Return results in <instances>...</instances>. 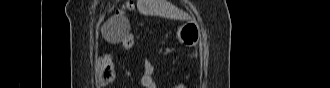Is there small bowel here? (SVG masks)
I'll list each match as a JSON object with an SVG mask.
<instances>
[{
	"instance_id": "1",
	"label": "small bowel",
	"mask_w": 330,
	"mask_h": 88,
	"mask_svg": "<svg viewBox=\"0 0 330 88\" xmlns=\"http://www.w3.org/2000/svg\"><path fill=\"white\" fill-rule=\"evenodd\" d=\"M142 67H143V75L141 81L143 85L148 88H154L155 87L153 82V76L155 72L154 65L148 58L144 57L142 59Z\"/></svg>"
}]
</instances>
